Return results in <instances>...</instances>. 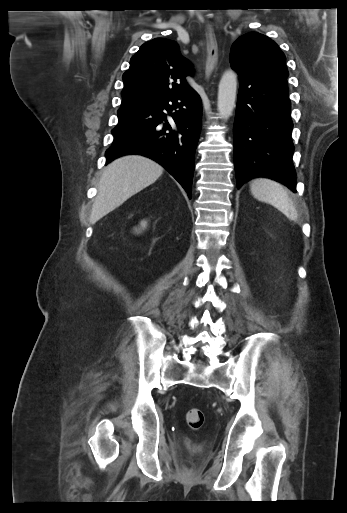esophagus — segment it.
<instances>
[{"mask_svg":"<svg viewBox=\"0 0 347 513\" xmlns=\"http://www.w3.org/2000/svg\"><path fill=\"white\" fill-rule=\"evenodd\" d=\"M206 46H207V54H206V66H205V74L206 77L209 78L212 72L215 70L218 62V46L215 37V33L211 25H207L206 28Z\"/></svg>","mask_w":347,"mask_h":513,"instance_id":"34e87169","label":"esophagus"}]
</instances>
